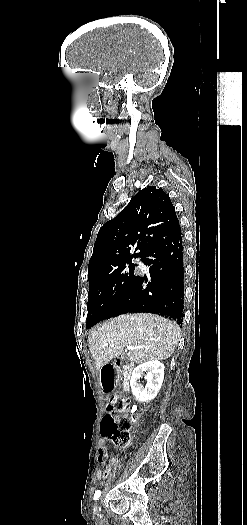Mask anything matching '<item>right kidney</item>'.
<instances>
[{
    "instance_id": "right-kidney-1",
    "label": "right kidney",
    "mask_w": 247,
    "mask_h": 525,
    "mask_svg": "<svg viewBox=\"0 0 247 525\" xmlns=\"http://www.w3.org/2000/svg\"><path fill=\"white\" fill-rule=\"evenodd\" d=\"M164 369L165 367L160 361H148V363H142V365H138V367L133 369L130 387L136 401L149 403V401H153L157 397V393L162 387ZM143 375L146 387L140 385V379H142Z\"/></svg>"
}]
</instances>
